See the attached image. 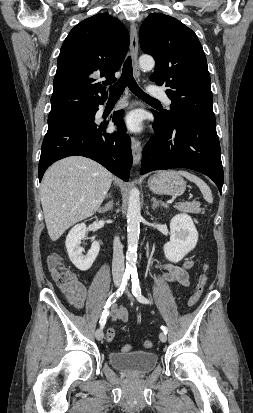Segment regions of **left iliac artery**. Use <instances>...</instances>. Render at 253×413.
Returning <instances> with one entry per match:
<instances>
[{
  "label": "left iliac artery",
  "instance_id": "obj_1",
  "mask_svg": "<svg viewBox=\"0 0 253 413\" xmlns=\"http://www.w3.org/2000/svg\"><path fill=\"white\" fill-rule=\"evenodd\" d=\"M131 282H132V293L137 298L140 303L149 304L151 303L146 297H144L141 293V288L139 284L138 274L132 273L131 274ZM162 331L167 334L168 330L165 326H161Z\"/></svg>",
  "mask_w": 253,
  "mask_h": 413
}]
</instances>
